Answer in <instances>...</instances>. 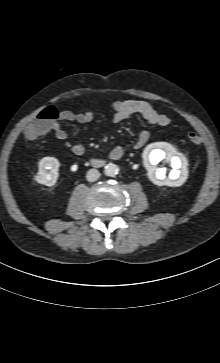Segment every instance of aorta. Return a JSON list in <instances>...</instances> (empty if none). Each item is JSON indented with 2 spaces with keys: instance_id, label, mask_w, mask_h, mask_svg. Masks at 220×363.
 I'll use <instances>...</instances> for the list:
<instances>
[{
  "instance_id": "obj_1",
  "label": "aorta",
  "mask_w": 220,
  "mask_h": 363,
  "mask_svg": "<svg viewBox=\"0 0 220 363\" xmlns=\"http://www.w3.org/2000/svg\"><path fill=\"white\" fill-rule=\"evenodd\" d=\"M119 168L116 164L109 163L104 167V174L109 177H114L118 174Z\"/></svg>"
}]
</instances>
